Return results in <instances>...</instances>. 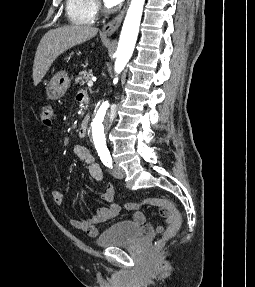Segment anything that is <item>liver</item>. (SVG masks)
Returning <instances> with one entry per match:
<instances>
[{
  "mask_svg": "<svg viewBox=\"0 0 255 287\" xmlns=\"http://www.w3.org/2000/svg\"><path fill=\"white\" fill-rule=\"evenodd\" d=\"M96 34H98V28H91V26H63V28L49 30L40 40L36 50L33 66L34 86H38L58 56L73 46L91 40Z\"/></svg>",
  "mask_w": 255,
  "mask_h": 287,
  "instance_id": "1",
  "label": "liver"
}]
</instances>
